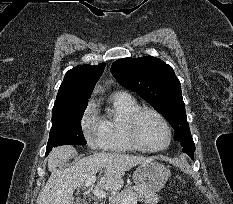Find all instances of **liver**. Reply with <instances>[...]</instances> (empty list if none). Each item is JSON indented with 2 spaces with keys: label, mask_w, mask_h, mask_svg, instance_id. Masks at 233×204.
<instances>
[{
  "label": "liver",
  "mask_w": 233,
  "mask_h": 204,
  "mask_svg": "<svg viewBox=\"0 0 233 204\" xmlns=\"http://www.w3.org/2000/svg\"><path fill=\"white\" fill-rule=\"evenodd\" d=\"M77 154L72 146H60L48 156L51 172L46 185L39 193L37 204H74V190L83 186L86 179L101 171L97 187L117 191L123 186V176L132 167L152 161L150 158L120 153H95L84 157L74 165L62 168Z\"/></svg>",
  "instance_id": "6515ba94"
}]
</instances>
